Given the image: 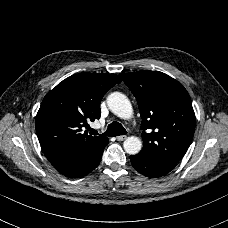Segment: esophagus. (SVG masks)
Listing matches in <instances>:
<instances>
[{"instance_id":"obj_1","label":"esophagus","mask_w":228,"mask_h":228,"mask_svg":"<svg viewBox=\"0 0 228 228\" xmlns=\"http://www.w3.org/2000/svg\"><path fill=\"white\" fill-rule=\"evenodd\" d=\"M126 138H127L126 135H120L116 137L117 141H124Z\"/></svg>"}]
</instances>
